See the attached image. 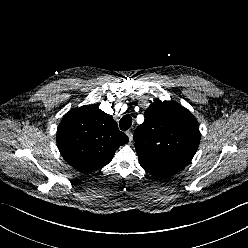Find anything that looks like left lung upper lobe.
Returning a JSON list of instances; mask_svg holds the SVG:
<instances>
[{
    "instance_id": "1",
    "label": "left lung upper lobe",
    "mask_w": 248,
    "mask_h": 248,
    "mask_svg": "<svg viewBox=\"0 0 248 248\" xmlns=\"http://www.w3.org/2000/svg\"><path fill=\"white\" fill-rule=\"evenodd\" d=\"M144 117L133 137L143 169L156 177H168L186 167L200 142L193 114L177 102L157 100Z\"/></svg>"
}]
</instances>
